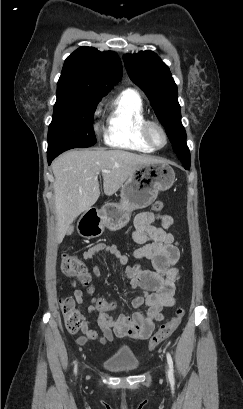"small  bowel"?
<instances>
[{
	"instance_id": "small-bowel-1",
	"label": "small bowel",
	"mask_w": 243,
	"mask_h": 409,
	"mask_svg": "<svg viewBox=\"0 0 243 409\" xmlns=\"http://www.w3.org/2000/svg\"><path fill=\"white\" fill-rule=\"evenodd\" d=\"M155 221H160L161 226H155ZM172 224V217L168 214L148 211L138 214L134 221L132 238L140 247L134 250L132 263L114 244L99 243L83 253L85 260H94L102 253L112 256L120 265L126 266L125 275L130 286L140 288L144 293L132 302L137 311L132 314L120 313L117 316H112L107 308L98 305L99 302L109 304L108 300L98 299L95 305L88 308V313L93 314L94 318L85 316L83 319V334L77 339L80 345H85L88 340H97L106 345L123 337L146 340L152 335L155 323L164 319L162 310L175 305L176 281L180 271L176 267L179 260L178 242L169 232ZM142 259L150 260L152 269L143 268L140 263ZM93 273L97 278H101L98 266L93 267ZM72 286H76L75 281ZM73 296L79 305L83 306L82 291L76 289ZM92 325L97 326L103 335L99 336L91 329Z\"/></svg>"
}]
</instances>
